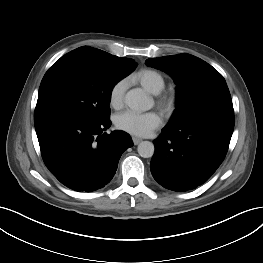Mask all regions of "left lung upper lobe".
<instances>
[{
	"instance_id": "obj_1",
	"label": "left lung upper lobe",
	"mask_w": 263,
	"mask_h": 263,
	"mask_svg": "<svg viewBox=\"0 0 263 263\" xmlns=\"http://www.w3.org/2000/svg\"><path fill=\"white\" fill-rule=\"evenodd\" d=\"M145 64L170 74L177 84L176 109L168 124L191 121L211 112L234 113L225 79L202 59L179 54L149 58Z\"/></svg>"
}]
</instances>
